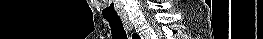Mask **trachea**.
Segmentation results:
<instances>
[{"mask_svg": "<svg viewBox=\"0 0 263 39\" xmlns=\"http://www.w3.org/2000/svg\"><path fill=\"white\" fill-rule=\"evenodd\" d=\"M110 27L113 39H127L126 31L120 18H105Z\"/></svg>", "mask_w": 263, "mask_h": 39, "instance_id": "3493384b", "label": "trachea"}]
</instances>
